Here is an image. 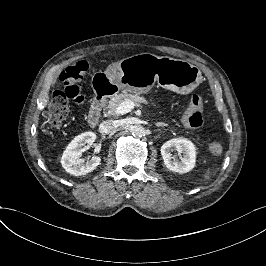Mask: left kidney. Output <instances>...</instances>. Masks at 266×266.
<instances>
[{
	"label": "left kidney",
	"instance_id": "left-kidney-1",
	"mask_svg": "<svg viewBox=\"0 0 266 266\" xmlns=\"http://www.w3.org/2000/svg\"><path fill=\"white\" fill-rule=\"evenodd\" d=\"M177 151V156H172L171 151ZM161 155L166 167L180 174L187 173L195 167L196 147L187 138H173L161 146Z\"/></svg>",
	"mask_w": 266,
	"mask_h": 266
}]
</instances>
